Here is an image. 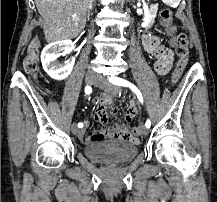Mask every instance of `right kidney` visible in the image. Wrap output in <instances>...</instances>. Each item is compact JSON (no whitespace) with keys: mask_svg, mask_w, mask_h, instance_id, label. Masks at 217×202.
Returning <instances> with one entry per match:
<instances>
[{"mask_svg":"<svg viewBox=\"0 0 217 202\" xmlns=\"http://www.w3.org/2000/svg\"><path fill=\"white\" fill-rule=\"evenodd\" d=\"M72 46V40H61V42H53V44H48V46L43 48L41 54L42 66L53 80H64V78H68L69 74H71L75 58H69L63 64L57 62V58L63 56V54H58V52H62V50L67 52Z\"/></svg>","mask_w":217,"mask_h":202,"instance_id":"obj_1","label":"right kidney"}]
</instances>
